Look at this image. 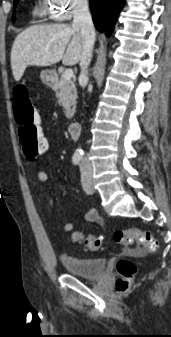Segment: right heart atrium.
<instances>
[{
    "instance_id": "right-heart-atrium-1",
    "label": "right heart atrium",
    "mask_w": 171,
    "mask_h": 337,
    "mask_svg": "<svg viewBox=\"0 0 171 337\" xmlns=\"http://www.w3.org/2000/svg\"><path fill=\"white\" fill-rule=\"evenodd\" d=\"M86 6V0H44V11L53 20H69Z\"/></svg>"
}]
</instances>
